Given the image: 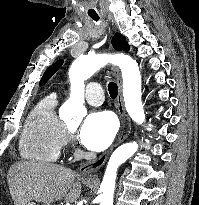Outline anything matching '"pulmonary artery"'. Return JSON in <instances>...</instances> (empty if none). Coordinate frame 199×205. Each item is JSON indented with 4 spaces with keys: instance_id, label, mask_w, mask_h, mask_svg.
I'll return each instance as SVG.
<instances>
[{
    "instance_id": "e3ab8cb5",
    "label": "pulmonary artery",
    "mask_w": 199,
    "mask_h": 205,
    "mask_svg": "<svg viewBox=\"0 0 199 205\" xmlns=\"http://www.w3.org/2000/svg\"><path fill=\"white\" fill-rule=\"evenodd\" d=\"M85 99L90 105H101L104 101V92L102 86L97 82L89 83L86 87Z\"/></svg>"
}]
</instances>
